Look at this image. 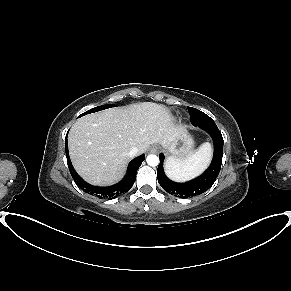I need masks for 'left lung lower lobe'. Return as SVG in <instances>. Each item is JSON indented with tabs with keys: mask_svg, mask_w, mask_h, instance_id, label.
<instances>
[{
	"mask_svg": "<svg viewBox=\"0 0 291 291\" xmlns=\"http://www.w3.org/2000/svg\"><path fill=\"white\" fill-rule=\"evenodd\" d=\"M195 121H191L194 126L205 130L210 134L214 141V154L213 160L209 168L199 177L186 183H176L168 179L163 170L164 155L160 154V164L157 170V178L161 187L169 194L189 198L200 195L209 189L215 182L222 164L223 156V137L219 131L214 120L203 112L196 115ZM178 193V195H176Z\"/></svg>",
	"mask_w": 291,
	"mask_h": 291,
	"instance_id": "left-lung-lower-lobe-1",
	"label": "left lung lower lobe"
}]
</instances>
